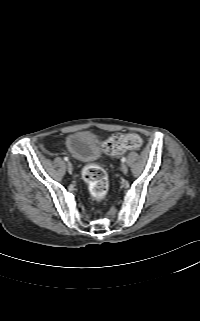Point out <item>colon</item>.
I'll use <instances>...</instances> for the list:
<instances>
[{"label":"colon","instance_id":"1","mask_svg":"<svg viewBox=\"0 0 200 321\" xmlns=\"http://www.w3.org/2000/svg\"><path fill=\"white\" fill-rule=\"evenodd\" d=\"M141 145L142 139L138 134H115L105 141L103 149L110 156H118L126 151L139 149ZM82 176L91 196L97 201L104 200L109 188L105 171L97 165H88L83 169Z\"/></svg>","mask_w":200,"mask_h":321}]
</instances>
